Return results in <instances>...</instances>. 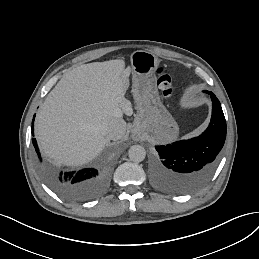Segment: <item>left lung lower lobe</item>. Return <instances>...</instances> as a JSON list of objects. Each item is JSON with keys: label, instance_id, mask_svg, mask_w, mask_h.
<instances>
[{"label": "left lung lower lobe", "instance_id": "left-lung-lower-lobe-1", "mask_svg": "<svg viewBox=\"0 0 259 259\" xmlns=\"http://www.w3.org/2000/svg\"><path fill=\"white\" fill-rule=\"evenodd\" d=\"M211 96L212 117L208 128L198 137L166 146H156L151 165L155 184L170 193H184L202 185L214 172L226 138V120L216 96Z\"/></svg>", "mask_w": 259, "mask_h": 259}]
</instances>
